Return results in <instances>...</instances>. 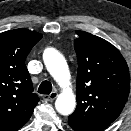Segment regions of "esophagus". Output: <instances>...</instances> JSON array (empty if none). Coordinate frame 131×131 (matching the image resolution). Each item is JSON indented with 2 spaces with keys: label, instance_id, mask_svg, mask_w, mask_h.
Returning a JSON list of instances; mask_svg holds the SVG:
<instances>
[{
  "label": "esophagus",
  "instance_id": "esophagus-1",
  "mask_svg": "<svg viewBox=\"0 0 131 131\" xmlns=\"http://www.w3.org/2000/svg\"><path fill=\"white\" fill-rule=\"evenodd\" d=\"M58 96V93L56 91H53L50 95H44L43 100L46 102H52L55 100Z\"/></svg>",
  "mask_w": 131,
  "mask_h": 131
}]
</instances>
